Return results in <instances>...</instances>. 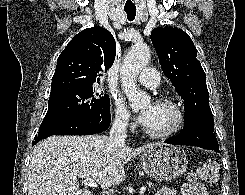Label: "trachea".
<instances>
[{"instance_id": "trachea-1", "label": "trachea", "mask_w": 245, "mask_h": 195, "mask_svg": "<svg viewBox=\"0 0 245 195\" xmlns=\"http://www.w3.org/2000/svg\"><path fill=\"white\" fill-rule=\"evenodd\" d=\"M129 21H133L136 16V7H129L124 9Z\"/></svg>"}]
</instances>
